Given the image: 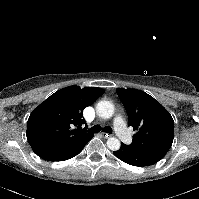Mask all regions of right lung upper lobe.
<instances>
[{
  "instance_id": "right-lung-upper-lobe-1",
  "label": "right lung upper lobe",
  "mask_w": 199,
  "mask_h": 199,
  "mask_svg": "<svg viewBox=\"0 0 199 199\" xmlns=\"http://www.w3.org/2000/svg\"><path fill=\"white\" fill-rule=\"evenodd\" d=\"M103 93L101 88L69 86L48 97L27 122L26 136L33 151L57 150L89 136L78 130L85 124L83 110Z\"/></svg>"
}]
</instances>
